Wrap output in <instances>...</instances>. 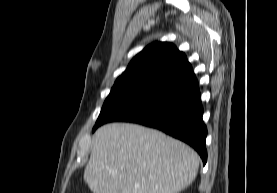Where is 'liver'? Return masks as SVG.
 Segmentation results:
<instances>
[{
  "mask_svg": "<svg viewBox=\"0 0 277 193\" xmlns=\"http://www.w3.org/2000/svg\"><path fill=\"white\" fill-rule=\"evenodd\" d=\"M199 156L183 142L136 124L94 134L84 181L93 193H179L196 178Z\"/></svg>",
  "mask_w": 277,
  "mask_h": 193,
  "instance_id": "6515ba94",
  "label": "liver"
}]
</instances>
